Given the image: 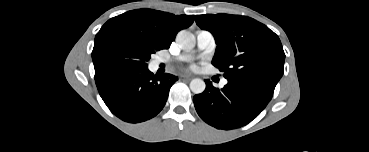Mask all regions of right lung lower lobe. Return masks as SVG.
Returning <instances> with one entry per match:
<instances>
[{
  "label": "right lung lower lobe",
  "instance_id": "1",
  "mask_svg": "<svg viewBox=\"0 0 369 152\" xmlns=\"http://www.w3.org/2000/svg\"><path fill=\"white\" fill-rule=\"evenodd\" d=\"M177 80L168 73L157 77L148 67L120 69L95 79L99 94L110 111L130 123L156 116Z\"/></svg>",
  "mask_w": 369,
  "mask_h": 152
}]
</instances>
